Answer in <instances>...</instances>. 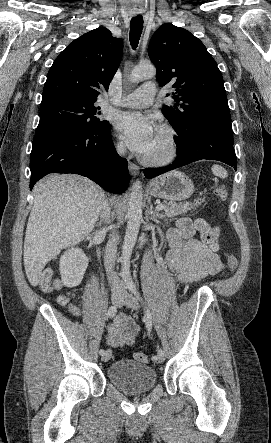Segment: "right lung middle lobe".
<instances>
[{
    "label": "right lung middle lobe",
    "instance_id": "dd1d6c3e",
    "mask_svg": "<svg viewBox=\"0 0 271 443\" xmlns=\"http://www.w3.org/2000/svg\"><path fill=\"white\" fill-rule=\"evenodd\" d=\"M94 103L76 99H56L41 103L40 121L37 130L52 125H65L74 128L93 131L107 124L108 121L99 119Z\"/></svg>",
    "mask_w": 271,
    "mask_h": 443
}]
</instances>
